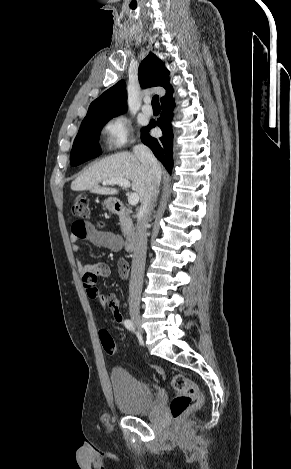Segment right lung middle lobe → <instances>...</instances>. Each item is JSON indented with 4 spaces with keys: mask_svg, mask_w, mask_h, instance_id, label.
I'll use <instances>...</instances> for the list:
<instances>
[{
    "mask_svg": "<svg viewBox=\"0 0 291 469\" xmlns=\"http://www.w3.org/2000/svg\"><path fill=\"white\" fill-rule=\"evenodd\" d=\"M113 117L115 116L82 121L71 150L70 163L72 166H77L101 154L98 143L100 131Z\"/></svg>",
    "mask_w": 291,
    "mask_h": 469,
    "instance_id": "1",
    "label": "right lung middle lobe"
}]
</instances>
